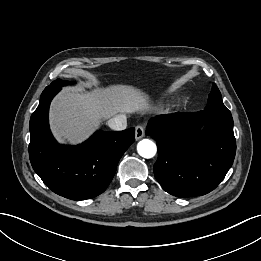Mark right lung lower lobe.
<instances>
[{
  "label": "right lung lower lobe",
  "instance_id": "1",
  "mask_svg": "<svg viewBox=\"0 0 261 261\" xmlns=\"http://www.w3.org/2000/svg\"><path fill=\"white\" fill-rule=\"evenodd\" d=\"M61 90L47 86L31 116L29 157L34 171L56 194L72 200L98 196L110 184L118 161L135 141V129L97 131L78 146H66L53 138L48 112L50 102Z\"/></svg>",
  "mask_w": 261,
  "mask_h": 261
}]
</instances>
